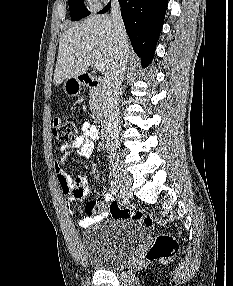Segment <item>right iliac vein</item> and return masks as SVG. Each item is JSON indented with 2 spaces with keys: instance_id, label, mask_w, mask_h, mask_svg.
<instances>
[{
  "instance_id": "right-iliac-vein-1",
  "label": "right iliac vein",
  "mask_w": 233,
  "mask_h": 286,
  "mask_svg": "<svg viewBox=\"0 0 233 286\" xmlns=\"http://www.w3.org/2000/svg\"><path fill=\"white\" fill-rule=\"evenodd\" d=\"M111 169L113 176L115 177L119 188H120V196L127 200L132 196V191L130 188V178L124 170L121 169L119 164L115 161L111 162Z\"/></svg>"
}]
</instances>
